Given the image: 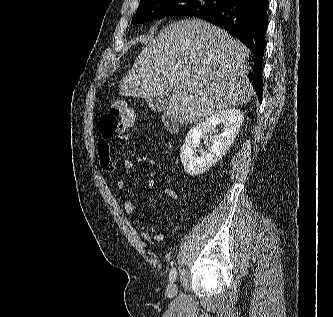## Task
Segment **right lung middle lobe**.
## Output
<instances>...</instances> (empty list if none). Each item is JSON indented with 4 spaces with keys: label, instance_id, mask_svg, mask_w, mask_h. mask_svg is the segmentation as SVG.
<instances>
[{
    "label": "right lung middle lobe",
    "instance_id": "obj_1",
    "mask_svg": "<svg viewBox=\"0 0 333 317\" xmlns=\"http://www.w3.org/2000/svg\"><path fill=\"white\" fill-rule=\"evenodd\" d=\"M222 0H142L132 23L173 15H196L220 7Z\"/></svg>",
    "mask_w": 333,
    "mask_h": 317
}]
</instances>
